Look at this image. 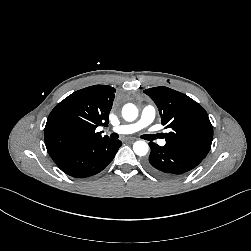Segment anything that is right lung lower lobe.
<instances>
[{"mask_svg": "<svg viewBox=\"0 0 251 251\" xmlns=\"http://www.w3.org/2000/svg\"><path fill=\"white\" fill-rule=\"evenodd\" d=\"M122 145L120 140L104 139L78 147L55 161L66 174L75 178L93 176L102 171Z\"/></svg>", "mask_w": 251, "mask_h": 251, "instance_id": "1", "label": "right lung lower lobe"}]
</instances>
